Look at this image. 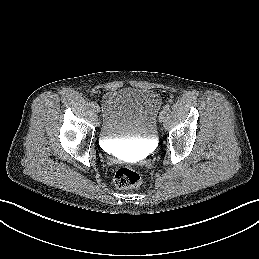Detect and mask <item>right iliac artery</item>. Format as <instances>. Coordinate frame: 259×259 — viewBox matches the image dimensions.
<instances>
[{"label":"right iliac artery","mask_w":259,"mask_h":259,"mask_svg":"<svg viewBox=\"0 0 259 259\" xmlns=\"http://www.w3.org/2000/svg\"><path fill=\"white\" fill-rule=\"evenodd\" d=\"M89 104H90L91 106H94L96 103H95L94 101H91Z\"/></svg>","instance_id":"right-iliac-artery-1"}]
</instances>
